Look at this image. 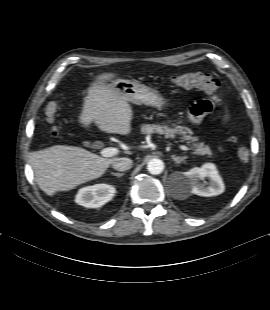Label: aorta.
<instances>
[{"label": "aorta", "mask_w": 270, "mask_h": 310, "mask_svg": "<svg viewBox=\"0 0 270 310\" xmlns=\"http://www.w3.org/2000/svg\"><path fill=\"white\" fill-rule=\"evenodd\" d=\"M164 169V163L160 159H151L147 164V170L153 175L162 173Z\"/></svg>", "instance_id": "762f6f07"}]
</instances>
